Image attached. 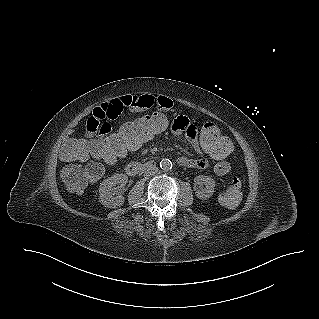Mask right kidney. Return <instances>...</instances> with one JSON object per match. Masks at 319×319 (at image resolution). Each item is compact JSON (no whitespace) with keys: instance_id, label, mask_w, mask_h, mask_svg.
I'll list each match as a JSON object with an SVG mask.
<instances>
[{"instance_id":"ca27d5eb","label":"right kidney","mask_w":319,"mask_h":319,"mask_svg":"<svg viewBox=\"0 0 319 319\" xmlns=\"http://www.w3.org/2000/svg\"><path fill=\"white\" fill-rule=\"evenodd\" d=\"M128 177L125 174H114L105 179L99 186L100 202L107 208H117L124 203L122 195ZM118 185V186H117Z\"/></svg>"}]
</instances>
